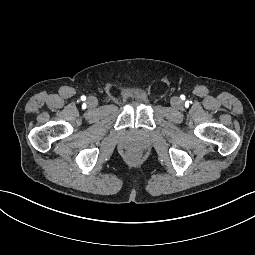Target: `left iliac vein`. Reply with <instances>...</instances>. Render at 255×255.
Here are the masks:
<instances>
[{
  "mask_svg": "<svg viewBox=\"0 0 255 255\" xmlns=\"http://www.w3.org/2000/svg\"><path fill=\"white\" fill-rule=\"evenodd\" d=\"M172 105L175 108H179L181 106V100L179 98H174L172 100Z\"/></svg>",
  "mask_w": 255,
  "mask_h": 255,
  "instance_id": "4c4485c4",
  "label": "left iliac vein"
}]
</instances>
